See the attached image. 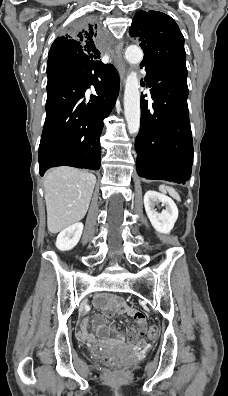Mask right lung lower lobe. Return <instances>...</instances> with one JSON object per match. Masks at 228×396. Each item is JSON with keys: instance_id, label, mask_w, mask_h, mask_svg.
Returning a JSON list of instances; mask_svg holds the SVG:
<instances>
[{"instance_id": "obj_1", "label": "right lung lower lobe", "mask_w": 228, "mask_h": 396, "mask_svg": "<svg viewBox=\"0 0 228 396\" xmlns=\"http://www.w3.org/2000/svg\"><path fill=\"white\" fill-rule=\"evenodd\" d=\"M94 88L98 96H85ZM119 92L112 64L75 62L47 89L46 119L39 145V172L56 166L100 168V136Z\"/></svg>"}]
</instances>
